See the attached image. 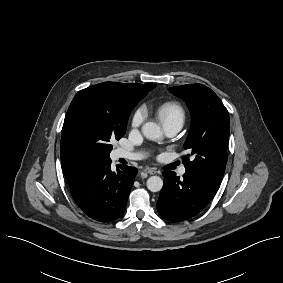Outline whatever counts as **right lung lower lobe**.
<instances>
[{"mask_svg": "<svg viewBox=\"0 0 283 283\" xmlns=\"http://www.w3.org/2000/svg\"><path fill=\"white\" fill-rule=\"evenodd\" d=\"M136 174L137 169L127 165H117L113 171L109 157L95 158L69 186L84 213L94 220L107 222L124 213Z\"/></svg>", "mask_w": 283, "mask_h": 283, "instance_id": "right-lung-lower-lobe-1", "label": "right lung lower lobe"}]
</instances>
